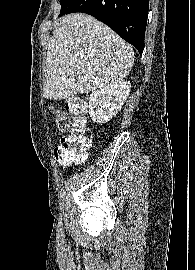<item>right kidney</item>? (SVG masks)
<instances>
[{
    "instance_id": "ca27d5eb",
    "label": "right kidney",
    "mask_w": 195,
    "mask_h": 270,
    "mask_svg": "<svg viewBox=\"0 0 195 270\" xmlns=\"http://www.w3.org/2000/svg\"><path fill=\"white\" fill-rule=\"evenodd\" d=\"M130 88L129 81L121 80L92 92L89 98V115L93 122L105 124L116 116L129 95Z\"/></svg>"
}]
</instances>
